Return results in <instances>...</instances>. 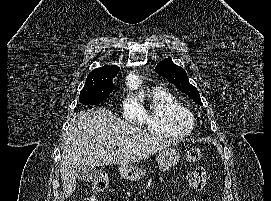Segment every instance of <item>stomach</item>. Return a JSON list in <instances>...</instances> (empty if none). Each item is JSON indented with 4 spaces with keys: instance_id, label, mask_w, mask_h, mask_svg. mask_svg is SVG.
I'll use <instances>...</instances> for the list:
<instances>
[{
    "instance_id": "0dacf381",
    "label": "stomach",
    "mask_w": 271,
    "mask_h": 201,
    "mask_svg": "<svg viewBox=\"0 0 271 201\" xmlns=\"http://www.w3.org/2000/svg\"><path fill=\"white\" fill-rule=\"evenodd\" d=\"M180 159V152L175 147L164 148L157 157L158 166L161 171H167L175 166ZM120 175L123 179L128 181H139L144 175L145 171L134 165H123L119 168Z\"/></svg>"
}]
</instances>
